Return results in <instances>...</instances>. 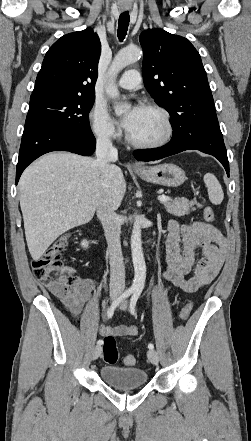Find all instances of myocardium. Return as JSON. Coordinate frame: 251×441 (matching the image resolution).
Masks as SVG:
<instances>
[{
    "label": "myocardium",
    "instance_id": "1",
    "mask_svg": "<svg viewBox=\"0 0 251 441\" xmlns=\"http://www.w3.org/2000/svg\"><path fill=\"white\" fill-rule=\"evenodd\" d=\"M143 108L154 110V111H157L158 113L161 114V116L164 120V123H165V127H166L165 134L163 135L162 138H160L156 141L141 142V141L135 140L128 131L126 134L127 141L131 145H133L134 147L141 148V149H155V148H159V147L166 145L171 140L173 133H174V127H173L170 113L168 112L167 109H165L161 105H158L155 103H147L143 106Z\"/></svg>",
    "mask_w": 251,
    "mask_h": 441
}]
</instances>
